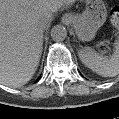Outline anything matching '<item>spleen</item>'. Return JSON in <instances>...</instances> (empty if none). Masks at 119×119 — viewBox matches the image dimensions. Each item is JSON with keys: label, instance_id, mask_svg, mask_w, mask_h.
Listing matches in <instances>:
<instances>
[{"label": "spleen", "instance_id": "1", "mask_svg": "<svg viewBox=\"0 0 119 119\" xmlns=\"http://www.w3.org/2000/svg\"><path fill=\"white\" fill-rule=\"evenodd\" d=\"M82 63L103 77H115L119 74V43L110 58L99 56L88 49L79 54Z\"/></svg>", "mask_w": 119, "mask_h": 119}]
</instances>
